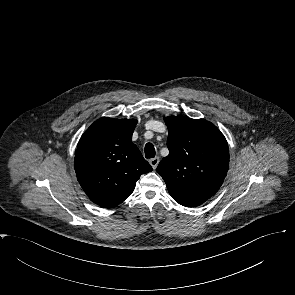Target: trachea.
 Returning a JSON list of instances; mask_svg holds the SVG:
<instances>
[{
    "mask_svg": "<svg viewBox=\"0 0 295 295\" xmlns=\"http://www.w3.org/2000/svg\"><path fill=\"white\" fill-rule=\"evenodd\" d=\"M155 148L152 143H147L145 145V157L154 158L155 157Z\"/></svg>",
    "mask_w": 295,
    "mask_h": 295,
    "instance_id": "3493384b",
    "label": "trachea"
}]
</instances>
